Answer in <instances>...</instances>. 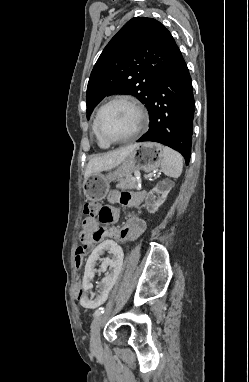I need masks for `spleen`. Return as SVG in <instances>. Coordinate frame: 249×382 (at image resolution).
Segmentation results:
<instances>
[{"label":"spleen","instance_id":"3e777b00","mask_svg":"<svg viewBox=\"0 0 249 382\" xmlns=\"http://www.w3.org/2000/svg\"><path fill=\"white\" fill-rule=\"evenodd\" d=\"M163 160L161 169L163 173L172 178L180 177L183 169V157L177 151L165 146L162 147Z\"/></svg>","mask_w":249,"mask_h":382}]
</instances>
